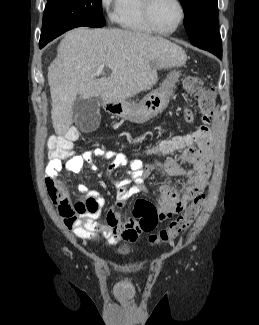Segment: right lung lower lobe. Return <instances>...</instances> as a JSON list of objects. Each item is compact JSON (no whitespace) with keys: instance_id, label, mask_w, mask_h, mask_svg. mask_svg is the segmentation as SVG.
Listing matches in <instances>:
<instances>
[{"instance_id":"1","label":"right lung lower lobe","mask_w":259,"mask_h":325,"mask_svg":"<svg viewBox=\"0 0 259 325\" xmlns=\"http://www.w3.org/2000/svg\"><path fill=\"white\" fill-rule=\"evenodd\" d=\"M46 45V43H39V47L42 48Z\"/></svg>"}]
</instances>
